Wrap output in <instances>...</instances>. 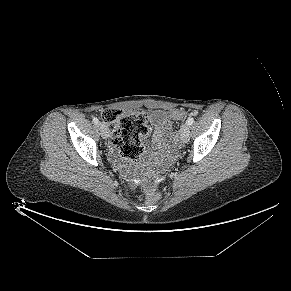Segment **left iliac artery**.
Instances as JSON below:
<instances>
[{
    "label": "left iliac artery",
    "mask_w": 291,
    "mask_h": 291,
    "mask_svg": "<svg viewBox=\"0 0 291 291\" xmlns=\"http://www.w3.org/2000/svg\"><path fill=\"white\" fill-rule=\"evenodd\" d=\"M193 122H194V118H193V117L188 118V120H187V124H188L189 126L192 125Z\"/></svg>",
    "instance_id": "1"
}]
</instances>
